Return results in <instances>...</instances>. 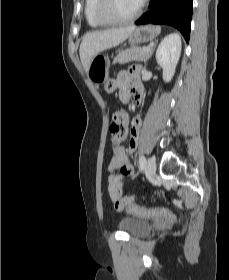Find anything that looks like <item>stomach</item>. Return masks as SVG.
<instances>
[{
	"mask_svg": "<svg viewBox=\"0 0 229 280\" xmlns=\"http://www.w3.org/2000/svg\"><path fill=\"white\" fill-rule=\"evenodd\" d=\"M161 28L155 25H145L135 28L128 37L132 45L147 43L160 34ZM110 60L107 56H95L88 67L87 75L94 83H104L108 80Z\"/></svg>",
	"mask_w": 229,
	"mask_h": 280,
	"instance_id": "obj_1",
	"label": "stomach"
}]
</instances>
